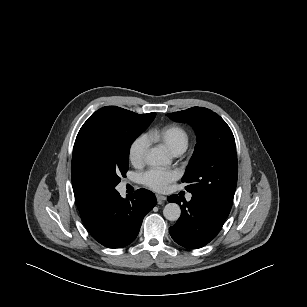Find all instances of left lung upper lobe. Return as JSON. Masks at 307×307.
<instances>
[{"label": "left lung upper lobe", "mask_w": 307, "mask_h": 307, "mask_svg": "<svg viewBox=\"0 0 307 307\" xmlns=\"http://www.w3.org/2000/svg\"><path fill=\"white\" fill-rule=\"evenodd\" d=\"M193 126L197 135L195 151L182 182L192 197L199 198L228 216L237 185L238 164L233 133L215 112L203 107L167 114Z\"/></svg>", "instance_id": "5c2ea615"}]
</instances>
